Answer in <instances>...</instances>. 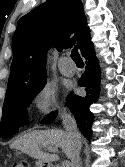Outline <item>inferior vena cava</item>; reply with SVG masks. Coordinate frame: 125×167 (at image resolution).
Listing matches in <instances>:
<instances>
[{
  "instance_id": "1",
  "label": "inferior vena cava",
  "mask_w": 125,
  "mask_h": 167,
  "mask_svg": "<svg viewBox=\"0 0 125 167\" xmlns=\"http://www.w3.org/2000/svg\"><path fill=\"white\" fill-rule=\"evenodd\" d=\"M61 118L64 128L68 133L73 145L71 167H80L79 155L81 150V135L77 129L76 121L69 113L65 111L61 114Z\"/></svg>"
}]
</instances>
